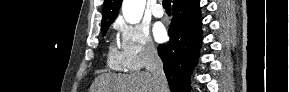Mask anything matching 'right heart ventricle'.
Segmentation results:
<instances>
[{
  "label": "right heart ventricle",
  "instance_id": "right-heart-ventricle-1",
  "mask_svg": "<svg viewBox=\"0 0 289 92\" xmlns=\"http://www.w3.org/2000/svg\"><path fill=\"white\" fill-rule=\"evenodd\" d=\"M108 61H109L110 66L115 69L121 68L123 66L120 53H118L114 47L110 48Z\"/></svg>",
  "mask_w": 289,
  "mask_h": 92
}]
</instances>
